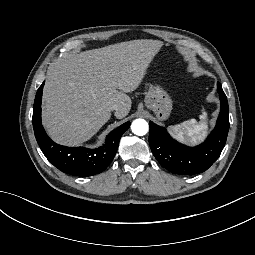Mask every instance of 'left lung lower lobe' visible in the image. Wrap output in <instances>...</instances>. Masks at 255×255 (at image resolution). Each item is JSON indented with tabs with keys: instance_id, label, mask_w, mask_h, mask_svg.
<instances>
[{
	"instance_id": "left-lung-lower-lobe-1",
	"label": "left lung lower lobe",
	"mask_w": 255,
	"mask_h": 255,
	"mask_svg": "<svg viewBox=\"0 0 255 255\" xmlns=\"http://www.w3.org/2000/svg\"><path fill=\"white\" fill-rule=\"evenodd\" d=\"M221 101L220 114L213 132L204 143L188 147L173 140L167 131L150 122L149 144L162 167L179 175H194L206 171L220 156L229 130V107L221 84L217 83Z\"/></svg>"
}]
</instances>
